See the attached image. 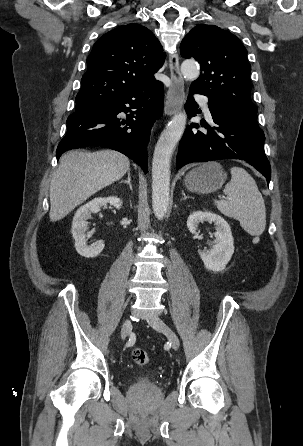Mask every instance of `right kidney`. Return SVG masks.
I'll return each instance as SVG.
<instances>
[{"mask_svg": "<svg viewBox=\"0 0 303 446\" xmlns=\"http://www.w3.org/2000/svg\"><path fill=\"white\" fill-rule=\"evenodd\" d=\"M109 203L117 209L122 206V201L117 197L95 198L87 204L81 206L75 213L72 222L71 233L75 240V248L78 254L86 258L98 256L105 247L103 242L93 246L86 245V231L88 230L87 220L92 213H98L102 206Z\"/></svg>", "mask_w": 303, "mask_h": 446, "instance_id": "1", "label": "right kidney"}]
</instances>
